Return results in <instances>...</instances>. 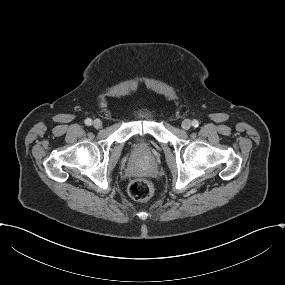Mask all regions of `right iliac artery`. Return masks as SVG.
Instances as JSON below:
<instances>
[{"mask_svg":"<svg viewBox=\"0 0 285 285\" xmlns=\"http://www.w3.org/2000/svg\"><path fill=\"white\" fill-rule=\"evenodd\" d=\"M85 124L88 126L92 125V120L90 118L86 119Z\"/></svg>","mask_w":285,"mask_h":285,"instance_id":"right-iliac-artery-1","label":"right iliac artery"}]
</instances>
